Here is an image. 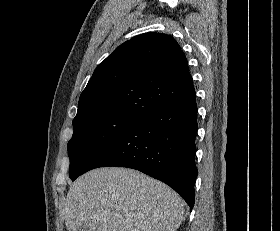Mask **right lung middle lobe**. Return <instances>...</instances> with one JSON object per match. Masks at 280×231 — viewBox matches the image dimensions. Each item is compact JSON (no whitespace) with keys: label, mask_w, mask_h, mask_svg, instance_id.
I'll return each instance as SVG.
<instances>
[{"label":"right lung middle lobe","mask_w":280,"mask_h":231,"mask_svg":"<svg viewBox=\"0 0 280 231\" xmlns=\"http://www.w3.org/2000/svg\"><path fill=\"white\" fill-rule=\"evenodd\" d=\"M139 121L130 117L73 120L74 132L67 146L71 180L74 181L95 158Z\"/></svg>","instance_id":"dd1d6c3e"}]
</instances>
